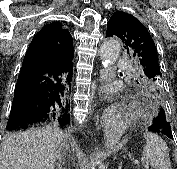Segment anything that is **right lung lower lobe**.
Wrapping results in <instances>:
<instances>
[{
    "instance_id": "right-lung-lower-lobe-1",
    "label": "right lung lower lobe",
    "mask_w": 177,
    "mask_h": 169,
    "mask_svg": "<svg viewBox=\"0 0 177 169\" xmlns=\"http://www.w3.org/2000/svg\"><path fill=\"white\" fill-rule=\"evenodd\" d=\"M73 64H50L25 59L14 91L8 130L26 129L36 123L61 127L70 121L66 92L72 80Z\"/></svg>"
}]
</instances>
